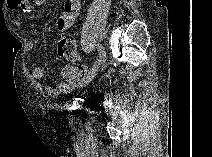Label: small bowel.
<instances>
[{
  "instance_id": "1",
  "label": "small bowel",
  "mask_w": 212,
  "mask_h": 157,
  "mask_svg": "<svg viewBox=\"0 0 212 157\" xmlns=\"http://www.w3.org/2000/svg\"><path fill=\"white\" fill-rule=\"evenodd\" d=\"M7 6L12 10H27L30 7V3L23 0H7ZM79 12L80 2L78 0H67L64 3L63 11L57 20V28L61 31L70 29L73 26ZM27 47L28 50H32L34 48V42L29 41L27 43ZM45 74L46 69L43 66H36L31 71V77L37 80L44 78ZM60 76L61 81L58 82L53 88H48V91L51 94L57 95L66 93L72 88L74 83L81 79L76 75L75 67L72 66L63 67Z\"/></svg>"
}]
</instances>
